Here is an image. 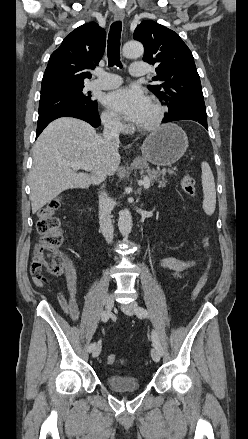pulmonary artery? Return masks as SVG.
<instances>
[{"label":"pulmonary artery","mask_w":248,"mask_h":439,"mask_svg":"<svg viewBox=\"0 0 248 439\" xmlns=\"http://www.w3.org/2000/svg\"><path fill=\"white\" fill-rule=\"evenodd\" d=\"M146 73L144 62H134L130 68V74L134 77L143 76ZM96 78L90 82L92 89L109 90L118 87L122 80L117 74L96 71Z\"/></svg>","instance_id":"pulmonary-artery-1"}]
</instances>
